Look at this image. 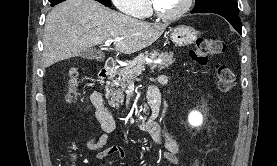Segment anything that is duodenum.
<instances>
[{
	"mask_svg": "<svg viewBox=\"0 0 277 166\" xmlns=\"http://www.w3.org/2000/svg\"><path fill=\"white\" fill-rule=\"evenodd\" d=\"M116 69H117V63L115 62L114 59L109 58L106 61L103 69L99 73V82L100 83L106 82L109 78H111L113 76ZM100 98H101L102 109L105 110V112L108 113L109 111H108L107 107L105 106V102H104V98H103L102 94H100ZM160 101H161L160 100V94H159L158 90H156V89L150 90L149 95H148V103H149L150 108H151V115L146 121H144L141 124L142 129L151 130V128L153 126V122H154V120H155V118L158 114V111H159Z\"/></svg>",
	"mask_w": 277,
	"mask_h": 166,
	"instance_id": "410a0bca",
	"label": "duodenum"
}]
</instances>
